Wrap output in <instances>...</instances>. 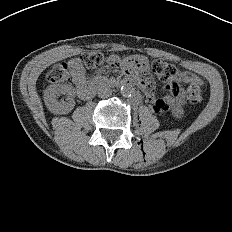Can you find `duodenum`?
<instances>
[{"label": "duodenum", "mask_w": 232, "mask_h": 232, "mask_svg": "<svg viewBox=\"0 0 232 232\" xmlns=\"http://www.w3.org/2000/svg\"><path fill=\"white\" fill-rule=\"evenodd\" d=\"M138 84H139V81L133 77H128L120 81H97L93 83H86L84 86L80 87L78 89V94L83 99H90L95 94V90L98 85L121 87V86H132V85H138Z\"/></svg>", "instance_id": "obj_1"}]
</instances>
